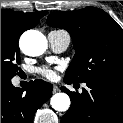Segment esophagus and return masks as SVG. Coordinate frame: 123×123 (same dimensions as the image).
Wrapping results in <instances>:
<instances>
[{
    "instance_id": "obj_1",
    "label": "esophagus",
    "mask_w": 123,
    "mask_h": 123,
    "mask_svg": "<svg viewBox=\"0 0 123 123\" xmlns=\"http://www.w3.org/2000/svg\"><path fill=\"white\" fill-rule=\"evenodd\" d=\"M59 90L58 86L57 85H53V92H57Z\"/></svg>"
}]
</instances>
